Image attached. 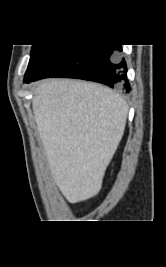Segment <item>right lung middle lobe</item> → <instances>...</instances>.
I'll return each instance as SVG.
<instances>
[{
    "mask_svg": "<svg viewBox=\"0 0 166 267\" xmlns=\"http://www.w3.org/2000/svg\"><path fill=\"white\" fill-rule=\"evenodd\" d=\"M52 45H33L31 54H30V61L25 73L24 79L28 78L29 75L32 73L36 65L40 62L44 54L50 49Z\"/></svg>",
    "mask_w": 166,
    "mask_h": 267,
    "instance_id": "right-lung-middle-lobe-1",
    "label": "right lung middle lobe"
}]
</instances>
